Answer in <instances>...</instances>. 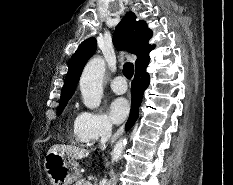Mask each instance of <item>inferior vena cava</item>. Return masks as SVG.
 I'll return each instance as SVG.
<instances>
[{
	"label": "inferior vena cava",
	"mask_w": 233,
	"mask_h": 185,
	"mask_svg": "<svg viewBox=\"0 0 233 185\" xmlns=\"http://www.w3.org/2000/svg\"><path fill=\"white\" fill-rule=\"evenodd\" d=\"M111 135H112V126L110 123H106L103 126V130L101 133L100 148L102 150L106 148V143L110 139ZM100 185H107V180L102 179V181L100 182Z\"/></svg>",
	"instance_id": "602c4592"
}]
</instances>
